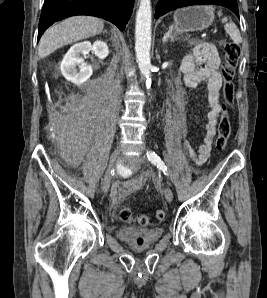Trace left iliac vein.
Instances as JSON below:
<instances>
[{"instance_id": "left-iliac-vein-1", "label": "left iliac vein", "mask_w": 267, "mask_h": 298, "mask_svg": "<svg viewBox=\"0 0 267 298\" xmlns=\"http://www.w3.org/2000/svg\"><path fill=\"white\" fill-rule=\"evenodd\" d=\"M128 161L130 163H140V164L146 163V159L143 156H136V157L128 159ZM164 195L168 202H171L173 200V192L170 187H168V186L165 187Z\"/></svg>"}]
</instances>
